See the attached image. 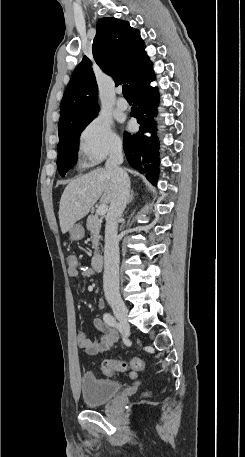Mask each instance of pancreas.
<instances>
[{
	"label": "pancreas",
	"instance_id": "cf45deb5",
	"mask_svg": "<svg viewBox=\"0 0 245 457\" xmlns=\"http://www.w3.org/2000/svg\"><path fill=\"white\" fill-rule=\"evenodd\" d=\"M102 218H99L98 214H90L87 218V229L91 233L92 249H95V253H98L100 229H101Z\"/></svg>",
	"mask_w": 245,
	"mask_h": 457
}]
</instances>
